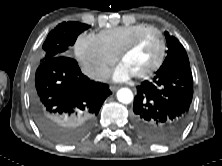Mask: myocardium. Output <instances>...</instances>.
Listing matches in <instances>:
<instances>
[{"instance_id": "obj_1", "label": "myocardium", "mask_w": 222, "mask_h": 166, "mask_svg": "<svg viewBox=\"0 0 222 166\" xmlns=\"http://www.w3.org/2000/svg\"><path fill=\"white\" fill-rule=\"evenodd\" d=\"M150 33H154L158 36L160 40V53L157 61L154 63L152 67L141 73L134 74L137 78H145L151 76L156 71H158L163 65L167 54V43L163 33L158 28L148 27L143 31H141L140 33H138L125 47L122 48V50L117 55L118 60L122 62V60L129 53H131L139 45V43Z\"/></svg>"}]
</instances>
